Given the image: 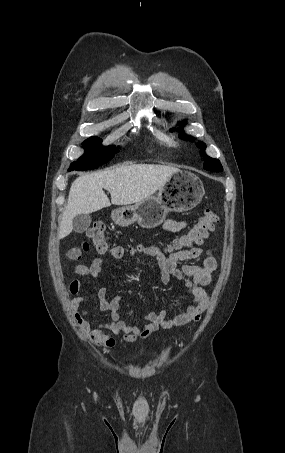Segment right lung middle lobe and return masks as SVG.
<instances>
[{"mask_svg":"<svg viewBox=\"0 0 285 453\" xmlns=\"http://www.w3.org/2000/svg\"><path fill=\"white\" fill-rule=\"evenodd\" d=\"M101 141L98 137L85 140L83 142V147L86 149L85 154L77 162L71 164L69 171L93 169L112 158L114 151L117 150L114 146L102 147Z\"/></svg>","mask_w":285,"mask_h":453,"instance_id":"right-lung-middle-lobe-1","label":"right lung middle lobe"}]
</instances>
